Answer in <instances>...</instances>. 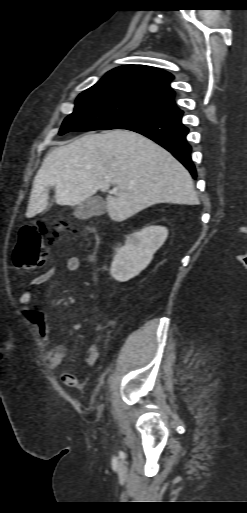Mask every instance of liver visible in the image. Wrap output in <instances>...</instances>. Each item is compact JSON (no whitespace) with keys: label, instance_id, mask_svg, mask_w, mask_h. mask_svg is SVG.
Wrapping results in <instances>:
<instances>
[{"label":"liver","instance_id":"liver-1","mask_svg":"<svg viewBox=\"0 0 247 513\" xmlns=\"http://www.w3.org/2000/svg\"><path fill=\"white\" fill-rule=\"evenodd\" d=\"M110 218L122 222L159 203L198 205L188 170L172 154L149 138L129 130L89 133L54 149L37 172L27 218L45 210L49 189L58 205L75 206L98 190L107 192Z\"/></svg>","mask_w":247,"mask_h":513}]
</instances>
